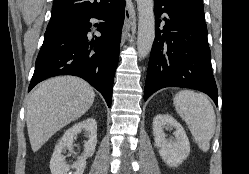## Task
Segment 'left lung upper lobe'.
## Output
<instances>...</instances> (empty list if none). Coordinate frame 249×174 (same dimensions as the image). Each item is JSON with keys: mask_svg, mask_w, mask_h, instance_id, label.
I'll list each match as a JSON object with an SVG mask.
<instances>
[{"mask_svg": "<svg viewBox=\"0 0 249 174\" xmlns=\"http://www.w3.org/2000/svg\"><path fill=\"white\" fill-rule=\"evenodd\" d=\"M173 6L183 13L205 22L204 7L202 0H168Z\"/></svg>", "mask_w": 249, "mask_h": 174, "instance_id": "1", "label": "left lung upper lobe"}]
</instances>
